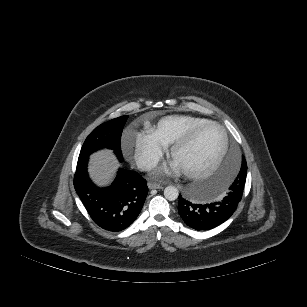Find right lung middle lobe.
I'll return each instance as SVG.
<instances>
[{"label": "right lung middle lobe", "mask_w": 307, "mask_h": 307, "mask_svg": "<svg viewBox=\"0 0 307 307\" xmlns=\"http://www.w3.org/2000/svg\"><path fill=\"white\" fill-rule=\"evenodd\" d=\"M127 117L121 116L96 127L86 138L78 159L89 157L91 153L102 148L112 149L119 159L122 158L120 142Z\"/></svg>", "instance_id": "dd1d6c3e"}]
</instances>
